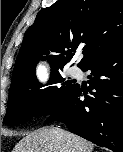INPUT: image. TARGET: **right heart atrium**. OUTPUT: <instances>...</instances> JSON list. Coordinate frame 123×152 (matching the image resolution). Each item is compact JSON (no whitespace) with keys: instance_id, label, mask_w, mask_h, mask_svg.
<instances>
[{"instance_id":"d8ad5b80","label":"right heart atrium","mask_w":123,"mask_h":152,"mask_svg":"<svg viewBox=\"0 0 123 152\" xmlns=\"http://www.w3.org/2000/svg\"><path fill=\"white\" fill-rule=\"evenodd\" d=\"M50 108H51V102H47V103L44 105L42 111L40 112V115H41V116H44V115L50 110Z\"/></svg>"}]
</instances>
